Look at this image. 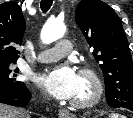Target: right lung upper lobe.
Segmentation results:
<instances>
[{
    "mask_svg": "<svg viewBox=\"0 0 133 118\" xmlns=\"http://www.w3.org/2000/svg\"><path fill=\"white\" fill-rule=\"evenodd\" d=\"M25 28V20L17 3L0 5V62L17 61L20 52L15 45L22 44Z\"/></svg>",
    "mask_w": 133,
    "mask_h": 118,
    "instance_id": "obj_1",
    "label": "right lung upper lobe"
}]
</instances>
